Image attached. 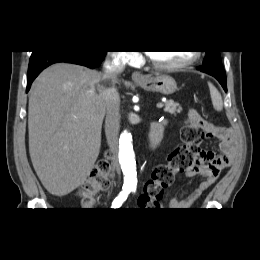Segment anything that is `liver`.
Instances as JSON below:
<instances>
[{
    "label": "liver",
    "mask_w": 260,
    "mask_h": 260,
    "mask_svg": "<svg viewBox=\"0 0 260 260\" xmlns=\"http://www.w3.org/2000/svg\"><path fill=\"white\" fill-rule=\"evenodd\" d=\"M102 74L57 63L40 73L28 106L29 153L49 193L64 196L84 183L101 147L106 113L95 85Z\"/></svg>",
    "instance_id": "6515ba94"
}]
</instances>
